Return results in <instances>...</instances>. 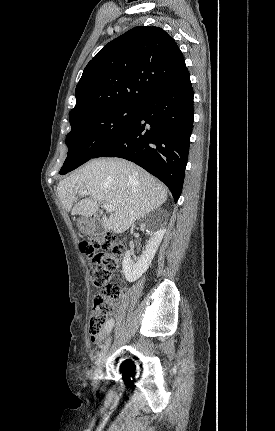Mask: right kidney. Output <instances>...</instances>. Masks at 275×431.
I'll use <instances>...</instances> for the list:
<instances>
[{"label":"right kidney","mask_w":275,"mask_h":431,"mask_svg":"<svg viewBox=\"0 0 275 431\" xmlns=\"http://www.w3.org/2000/svg\"><path fill=\"white\" fill-rule=\"evenodd\" d=\"M144 226L145 224L142 225V227ZM164 234V230H157L155 232H151L145 250L142 252L140 257L134 258L135 262L131 258L132 253L130 251H127L125 253L122 262V269L127 281L134 282L139 279L143 273L147 271L155 256V253L158 250V247L163 239Z\"/></svg>","instance_id":"1"}]
</instances>
